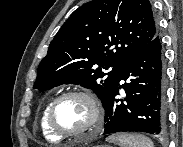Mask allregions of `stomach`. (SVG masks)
Listing matches in <instances>:
<instances>
[{
  "label": "stomach",
  "instance_id": "stomach-1",
  "mask_svg": "<svg viewBox=\"0 0 183 147\" xmlns=\"http://www.w3.org/2000/svg\"><path fill=\"white\" fill-rule=\"evenodd\" d=\"M97 147H106V146L101 145V146H97Z\"/></svg>",
  "mask_w": 183,
  "mask_h": 147
}]
</instances>
